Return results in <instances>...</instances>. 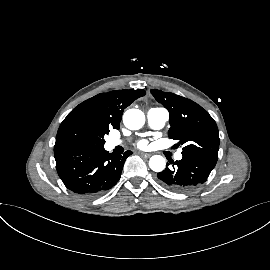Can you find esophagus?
<instances>
[{
  "label": "esophagus",
  "instance_id": "1",
  "mask_svg": "<svg viewBox=\"0 0 270 270\" xmlns=\"http://www.w3.org/2000/svg\"><path fill=\"white\" fill-rule=\"evenodd\" d=\"M140 155L144 158H149L151 156L150 153H144V152H141Z\"/></svg>",
  "mask_w": 270,
  "mask_h": 270
}]
</instances>
